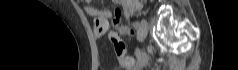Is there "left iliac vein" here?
Masks as SVG:
<instances>
[{
  "instance_id": "4c4485c4",
  "label": "left iliac vein",
  "mask_w": 238,
  "mask_h": 70,
  "mask_svg": "<svg viewBox=\"0 0 238 70\" xmlns=\"http://www.w3.org/2000/svg\"><path fill=\"white\" fill-rule=\"evenodd\" d=\"M149 25L145 19L141 20V24L138 30V37L143 40L146 38L148 33Z\"/></svg>"
}]
</instances>
